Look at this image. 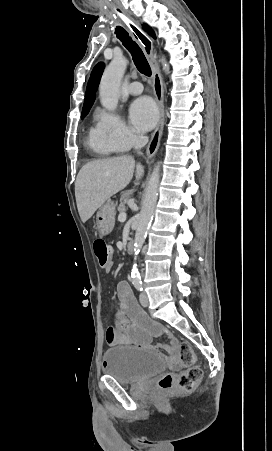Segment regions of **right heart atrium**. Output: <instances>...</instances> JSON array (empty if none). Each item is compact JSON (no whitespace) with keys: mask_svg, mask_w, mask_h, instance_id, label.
I'll use <instances>...</instances> for the list:
<instances>
[{"mask_svg":"<svg viewBox=\"0 0 272 451\" xmlns=\"http://www.w3.org/2000/svg\"><path fill=\"white\" fill-rule=\"evenodd\" d=\"M98 128L104 136L122 149L130 144L133 137L130 128L123 119L115 113H100Z\"/></svg>","mask_w":272,"mask_h":451,"instance_id":"obj_1","label":"right heart atrium"}]
</instances>
